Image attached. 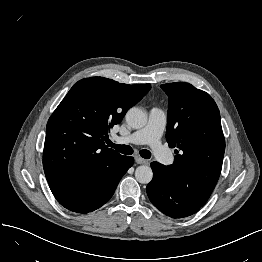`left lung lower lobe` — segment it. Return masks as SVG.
<instances>
[{
  "label": "left lung lower lobe",
  "mask_w": 262,
  "mask_h": 262,
  "mask_svg": "<svg viewBox=\"0 0 262 262\" xmlns=\"http://www.w3.org/2000/svg\"><path fill=\"white\" fill-rule=\"evenodd\" d=\"M153 179L146 191L151 203L171 218L191 216L201 208L169 181L166 166L152 162Z\"/></svg>",
  "instance_id": "0a47b994"
}]
</instances>
